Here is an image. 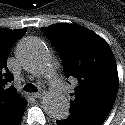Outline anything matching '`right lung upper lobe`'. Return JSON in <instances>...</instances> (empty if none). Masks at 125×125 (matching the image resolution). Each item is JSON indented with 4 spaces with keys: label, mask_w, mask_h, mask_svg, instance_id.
<instances>
[{
    "label": "right lung upper lobe",
    "mask_w": 125,
    "mask_h": 125,
    "mask_svg": "<svg viewBox=\"0 0 125 125\" xmlns=\"http://www.w3.org/2000/svg\"><path fill=\"white\" fill-rule=\"evenodd\" d=\"M27 28L10 30L0 28V115L11 110L23 101L16 88H8V82L13 80V74L7 68V58L14 42L23 36Z\"/></svg>",
    "instance_id": "obj_1"
}]
</instances>
